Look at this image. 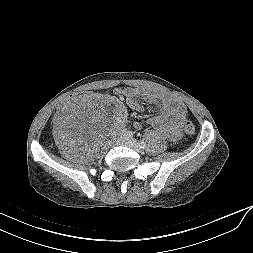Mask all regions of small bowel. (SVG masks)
I'll use <instances>...</instances> for the list:
<instances>
[{
  "mask_svg": "<svg viewBox=\"0 0 253 253\" xmlns=\"http://www.w3.org/2000/svg\"><path fill=\"white\" fill-rule=\"evenodd\" d=\"M115 93L123 98L132 110H143L144 107L140 100L152 105L157 110V114L148 120L150 127L170 142H177L181 138L182 126L186 120V108L182 102L172 97L130 87L118 88ZM66 121L67 118H64L59 123L61 132L66 131ZM141 126L139 121L134 122L135 128Z\"/></svg>",
  "mask_w": 253,
  "mask_h": 253,
  "instance_id": "small-bowel-1",
  "label": "small bowel"
}]
</instances>
